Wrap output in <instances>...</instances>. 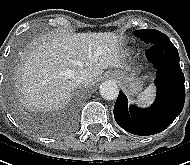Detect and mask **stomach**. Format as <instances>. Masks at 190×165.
I'll return each instance as SVG.
<instances>
[{
    "instance_id": "1",
    "label": "stomach",
    "mask_w": 190,
    "mask_h": 165,
    "mask_svg": "<svg viewBox=\"0 0 190 165\" xmlns=\"http://www.w3.org/2000/svg\"><path fill=\"white\" fill-rule=\"evenodd\" d=\"M113 74L118 78L122 86L130 95L137 94L142 90L143 80L136 77L134 73L116 70Z\"/></svg>"
}]
</instances>
